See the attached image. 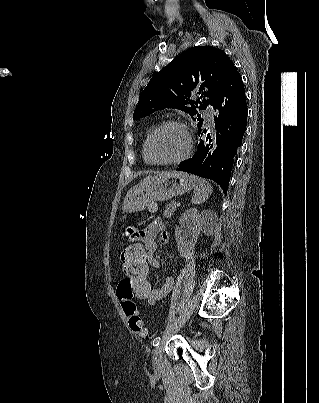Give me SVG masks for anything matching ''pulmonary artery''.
<instances>
[{
    "label": "pulmonary artery",
    "instance_id": "pulmonary-artery-1",
    "mask_svg": "<svg viewBox=\"0 0 319 403\" xmlns=\"http://www.w3.org/2000/svg\"><path fill=\"white\" fill-rule=\"evenodd\" d=\"M206 120L210 123L213 122V112L212 110H207L206 112Z\"/></svg>",
    "mask_w": 319,
    "mask_h": 403
}]
</instances>
